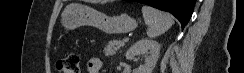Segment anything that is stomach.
<instances>
[{"label": "stomach", "instance_id": "0dacf381", "mask_svg": "<svg viewBox=\"0 0 244 73\" xmlns=\"http://www.w3.org/2000/svg\"><path fill=\"white\" fill-rule=\"evenodd\" d=\"M61 24L68 30L89 25L110 35L129 33L137 27L136 20L127 14L110 16L79 3H71L64 8Z\"/></svg>", "mask_w": 244, "mask_h": 73}]
</instances>
